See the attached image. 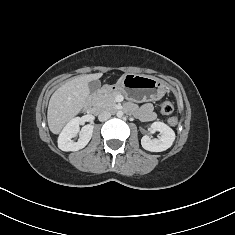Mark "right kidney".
I'll return each mask as SVG.
<instances>
[{"mask_svg":"<svg viewBox=\"0 0 235 235\" xmlns=\"http://www.w3.org/2000/svg\"><path fill=\"white\" fill-rule=\"evenodd\" d=\"M81 118L76 117L70 120L62 130L58 138V147L62 151H78L84 148L90 141L93 133V125H85L80 130ZM80 134V138L77 142L72 141L77 134Z\"/></svg>","mask_w":235,"mask_h":235,"instance_id":"obj_1","label":"right kidney"}]
</instances>
